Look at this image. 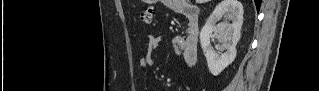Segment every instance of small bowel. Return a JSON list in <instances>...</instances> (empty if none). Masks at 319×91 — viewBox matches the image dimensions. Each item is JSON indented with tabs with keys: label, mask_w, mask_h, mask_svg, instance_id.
Returning <instances> with one entry per match:
<instances>
[{
	"label": "small bowel",
	"mask_w": 319,
	"mask_h": 91,
	"mask_svg": "<svg viewBox=\"0 0 319 91\" xmlns=\"http://www.w3.org/2000/svg\"><path fill=\"white\" fill-rule=\"evenodd\" d=\"M161 42V37L155 34H150L148 36V42H147V47H146V53L144 57L140 59V66L141 68L145 69L148 68L150 65L153 64L154 59V52L158 48L159 44Z\"/></svg>",
	"instance_id": "obj_1"
}]
</instances>
